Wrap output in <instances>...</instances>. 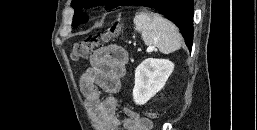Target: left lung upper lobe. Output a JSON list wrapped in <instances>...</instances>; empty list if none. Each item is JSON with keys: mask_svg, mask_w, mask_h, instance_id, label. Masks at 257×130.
<instances>
[{"mask_svg": "<svg viewBox=\"0 0 257 130\" xmlns=\"http://www.w3.org/2000/svg\"><path fill=\"white\" fill-rule=\"evenodd\" d=\"M137 0H72L71 6L75 10L72 26L76 27L88 20L87 15L82 12V8H90L96 5L106 4V9H111L126 3L135 4Z\"/></svg>", "mask_w": 257, "mask_h": 130, "instance_id": "5c2ea615", "label": "left lung upper lobe"}]
</instances>
